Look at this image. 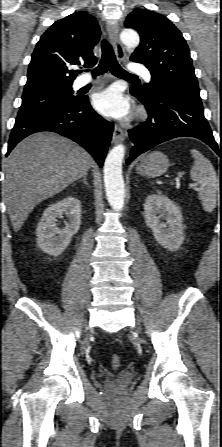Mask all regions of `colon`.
<instances>
[{"mask_svg":"<svg viewBox=\"0 0 222 447\" xmlns=\"http://www.w3.org/2000/svg\"><path fill=\"white\" fill-rule=\"evenodd\" d=\"M120 363H121V358H120V356L117 355V354H114V355L111 357V365H112V367H113L114 369H117V368H119Z\"/></svg>","mask_w":222,"mask_h":447,"instance_id":"1","label":"colon"}]
</instances>
